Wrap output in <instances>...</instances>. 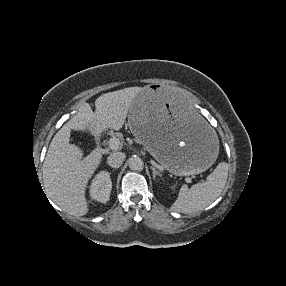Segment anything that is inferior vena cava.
<instances>
[{"label":"inferior vena cava","instance_id":"602c4592","mask_svg":"<svg viewBox=\"0 0 286 286\" xmlns=\"http://www.w3.org/2000/svg\"><path fill=\"white\" fill-rule=\"evenodd\" d=\"M125 158V154L122 152H115L108 156L107 162L108 165L112 168H119Z\"/></svg>","mask_w":286,"mask_h":286}]
</instances>
